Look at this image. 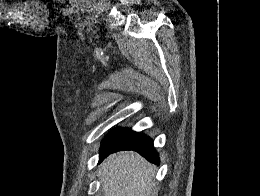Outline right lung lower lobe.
<instances>
[{"instance_id":"1","label":"right lung lower lobe","mask_w":260,"mask_h":196,"mask_svg":"<svg viewBox=\"0 0 260 196\" xmlns=\"http://www.w3.org/2000/svg\"><path fill=\"white\" fill-rule=\"evenodd\" d=\"M122 150L136 151L140 155L145 157L148 161L155 164L160 163L158 153L153 147V140L142 133L135 134L130 139H128L123 144L117 147H113L107 150H101L100 161L103 160L109 154Z\"/></svg>"}]
</instances>
